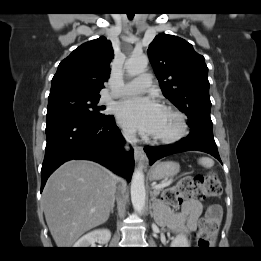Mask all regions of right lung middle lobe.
Instances as JSON below:
<instances>
[{"label":"right lung middle lobe","instance_id":"dd1d6c3e","mask_svg":"<svg viewBox=\"0 0 261 261\" xmlns=\"http://www.w3.org/2000/svg\"><path fill=\"white\" fill-rule=\"evenodd\" d=\"M99 98L71 92L57 93L48 98L47 120L68 115L105 117L107 115L99 112L102 107L97 106Z\"/></svg>","mask_w":261,"mask_h":261}]
</instances>
